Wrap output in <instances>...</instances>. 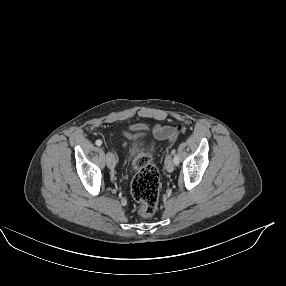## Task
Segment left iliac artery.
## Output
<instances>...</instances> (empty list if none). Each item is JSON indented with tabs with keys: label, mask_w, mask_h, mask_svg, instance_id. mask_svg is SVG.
Listing matches in <instances>:
<instances>
[{
	"label": "left iliac artery",
	"mask_w": 286,
	"mask_h": 286,
	"mask_svg": "<svg viewBox=\"0 0 286 286\" xmlns=\"http://www.w3.org/2000/svg\"><path fill=\"white\" fill-rule=\"evenodd\" d=\"M172 154H173V156H174V159H173L174 164H175V165H178V164H179V157H178V155L176 154V151L173 150V151H172Z\"/></svg>",
	"instance_id": "44dca946"
}]
</instances>
